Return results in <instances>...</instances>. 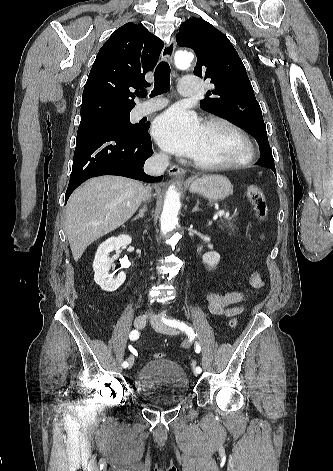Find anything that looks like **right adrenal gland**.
<instances>
[{"instance_id":"1","label":"right adrenal gland","mask_w":333,"mask_h":471,"mask_svg":"<svg viewBox=\"0 0 333 471\" xmlns=\"http://www.w3.org/2000/svg\"><path fill=\"white\" fill-rule=\"evenodd\" d=\"M146 211H147V206L143 205L142 208L139 210V214L135 216L132 220L135 221L139 218H143Z\"/></svg>"}]
</instances>
